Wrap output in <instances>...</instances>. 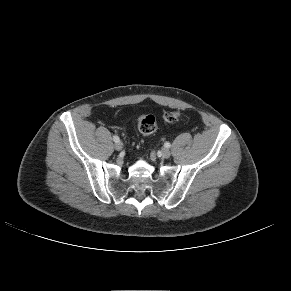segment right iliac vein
<instances>
[{
  "instance_id": "obj_1",
  "label": "right iliac vein",
  "mask_w": 291,
  "mask_h": 291,
  "mask_svg": "<svg viewBox=\"0 0 291 291\" xmlns=\"http://www.w3.org/2000/svg\"><path fill=\"white\" fill-rule=\"evenodd\" d=\"M114 147L116 150L120 151L123 148V144L119 141L115 143Z\"/></svg>"
}]
</instances>
